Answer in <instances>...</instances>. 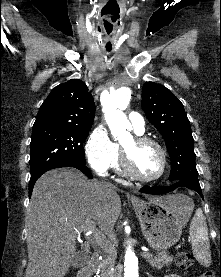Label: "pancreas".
Returning a JSON list of instances; mask_svg holds the SVG:
<instances>
[{"label": "pancreas", "instance_id": "cf45deb5", "mask_svg": "<svg viewBox=\"0 0 221 277\" xmlns=\"http://www.w3.org/2000/svg\"><path fill=\"white\" fill-rule=\"evenodd\" d=\"M106 253L104 262L102 263L99 277H118L112 270L115 267L116 251L114 246L109 242L104 248ZM173 261V257L166 251L161 252L157 257H149L148 262L152 268L162 269L169 266Z\"/></svg>", "mask_w": 221, "mask_h": 277}]
</instances>
